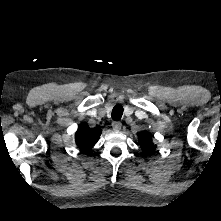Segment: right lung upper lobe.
I'll list each match as a JSON object with an SVG mask.
<instances>
[{
  "label": "right lung upper lobe",
  "instance_id": "1",
  "mask_svg": "<svg viewBox=\"0 0 221 221\" xmlns=\"http://www.w3.org/2000/svg\"><path fill=\"white\" fill-rule=\"evenodd\" d=\"M101 132L99 127L90 128L84 124L78 128L75 134L76 144L82 151L88 152L98 141Z\"/></svg>",
  "mask_w": 221,
  "mask_h": 221
}]
</instances>
